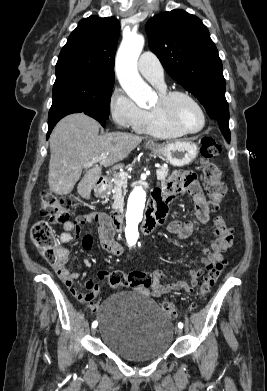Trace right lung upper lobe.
<instances>
[{"instance_id": "obj_1", "label": "right lung upper lobe", "mask_w": 267, "mask_h": 391, "mask_svg": "<svg viewBox=\"0 0 267 391\" xmlns=\"http://www.w3.org/2000/svg\"><path fill=\"white\" fill-rule=\"evenodd\" d=\"M119 32L114 17L82 19L59 54L56 77L76 72L114 75Z\"/></svg>"}]
</instances>
